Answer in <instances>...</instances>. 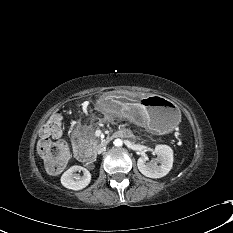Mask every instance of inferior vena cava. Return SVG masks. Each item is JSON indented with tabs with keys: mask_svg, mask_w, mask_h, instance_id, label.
<instances>
[{
	"mask_svg": "<svg viewBox=\"0 0 233 233\" xmlns=\"http://www.w3.org/2000/svg\"><path fill=\"white\" fill-rule=\"evenodd\" d=\"M104 151V148L100 147L98 150H97V153L100 154Z\"/></svg>",
	"mask_w": 233,
	"mask_h": 233,
	"instance_id": "1",
	"label": "inferior vena cava"
}]
</instances>
